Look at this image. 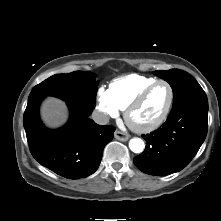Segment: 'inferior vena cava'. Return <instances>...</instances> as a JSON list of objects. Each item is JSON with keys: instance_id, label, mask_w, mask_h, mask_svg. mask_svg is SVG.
I'll return each mask as SVG.
<instances>
[{"instance_id": "inferior-vena-cava-1", "label": "inferior vena cava", "mask_w": 221, "mask_h": 221, "mask_svg": "<svg viewBox=\"0 0 221 221\" xmlns=\"http://www.w3.org/2000/svg\"><path fill=\"white\" fill-rule=\"evenodd\" d=\"M92 119L99 125H106L109 123V116L100 111H94L92 114Z\"/></svg>"}]
</instances>
